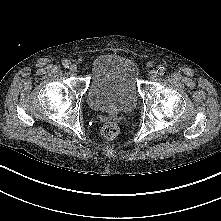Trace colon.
<instances>
[{
	"label": "colon",
	"mask_w": 221,
	"mask_h": 221,
	"mask_svg": "<svg viewBox=\"0 0 221 221\" xmlns=\"http://www.w3.org/2000/svg\"><path fill=\"white\" fill-rule=\"evenodd\" d=\"M119 133L118 125L113 122H107L102 128V135L106 139H114Z\"/></svg>",
	"instance_id": "5ec220e1"
}]
</instances>
